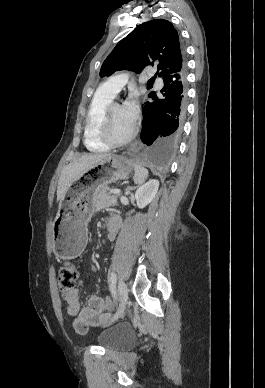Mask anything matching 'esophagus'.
Returning <instances> with one entry per match:
<instances>
[{"mask_svg":"<svg viewBox=\"0 0 265 388\" xmlns=\"http://www.w3.org/2000/svg\"><path fill=\"white\" fill-rule=\"evenodd\" d=\"M142 142L138 140L135 143H132V145L127 149L126 153L129 156H133L135 153H137L142 148Z\"/></svg>","mask_w":265,"mask_h":388,"instance_id":"1","label":"esophagus"}]
</instances>
